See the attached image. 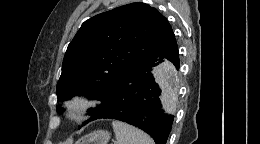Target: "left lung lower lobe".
I'll return each mask as SVG.
<instances>
[{
    "label": "left lung lower lobe",
    "instance_id": "obj_1",
    "mask_svg": "<svg viewBox=\"0 0 260 144\" xmlns=\"http://www.w3.org/2000/svg\"><path fill=\"white\" fill-rule=\"evenodd\" d=\"M158 58H166L179 69L175 39L122 76L111 95L109 106L96 119L126 122L148 133L156 144H166L174 116L168 109H162L161 102L166 106L168 92L161 90L151 73V67Z\"/></svg>",
    "mask_w": 260,
    "mask_h": 144
}]
</instances>
